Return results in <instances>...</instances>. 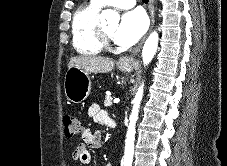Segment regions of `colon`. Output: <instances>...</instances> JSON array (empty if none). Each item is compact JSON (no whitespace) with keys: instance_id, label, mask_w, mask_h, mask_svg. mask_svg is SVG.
<instances>
[{"instance_id":"1","label":"colon","mask_w":227,"mask_h":166,"mask_svg":"<svg viewBox=\"0 0 227 166\" xmlns=\"http://www.w3.org/2000/svg\"><path fill=\"white\" fill-rule=\"evenodd\" d=\"M64 131L67 137L77 135L81 130L79 117L73 114L65 115L63 118Z\"/></svg>"}]
</instances>
